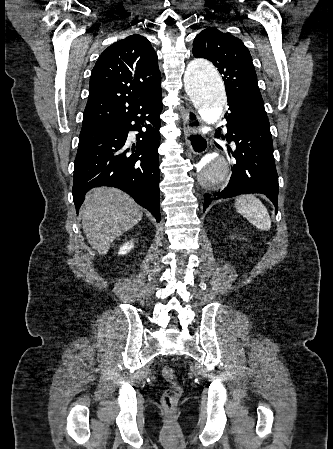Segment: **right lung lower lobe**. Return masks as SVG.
I'll return each instance as SVG.
<instances>
[{"label":"right lung lower lobe","instance_id":"98d812e1","mask_svg":"<svg viewBox=\"0 0 333 449\" xmlns=\"http://www.w3.org/2000/svg\"><path fill=\"white\" fill-rule=\"evenodd\" d=\"M161 111L160 95L117 120L81 130L72 188L77 212L84 194L103 185L125 191L160 221L158 148ZM142 127L146 128L145 132ZM131 130L139 132L135 144L127 140Z\"/></svg>","mask_w":333,"mask_h":449}]
</instances>
